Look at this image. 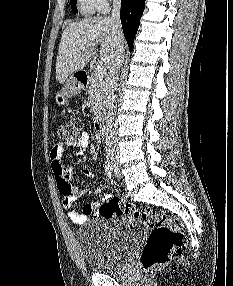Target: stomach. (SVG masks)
<instances>
[{
    "mask_svg": "<svg viewBox=\"0 0 233 286\" xmlns=\"http://www.w3.org/2000/svg\"><path fill=\"white\" fill-rule=\"evenodd\" d=\"M75 94L74 89L71 86V80H69L61 91L55 96V102L58 106H65L68 103V98Z\"/></svg>",
    "mask_w": 233,
    "mask_h": 286,
    "instance_id": "0dacf381",
    "label": "stomach"
}]
</instances>
